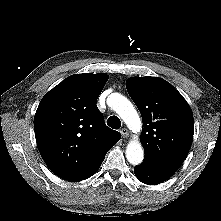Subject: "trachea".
<instances>
[{"label": "trachea", "instance_id": "obj_1", "mask_svg": "<svg viewBox=\"0 0 221 221\" xmlns=\"http://www.w3.org/2000/svg\"><path fill=\"white\" fill-rule=\"evenodd\" d=\"M107 125L112 129H119L121 127V121L117 116H110L107 120Z\"/></svg>", "mask_w": 221, "mask_h": 221}]
</instances>
